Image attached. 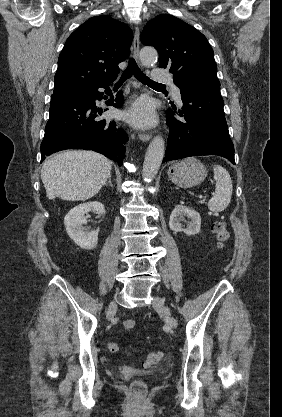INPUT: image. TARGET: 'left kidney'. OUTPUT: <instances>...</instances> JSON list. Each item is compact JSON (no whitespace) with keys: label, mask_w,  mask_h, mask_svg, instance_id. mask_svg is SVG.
<instances>
[{"label":"left kidney","mask_w":282,"mask_h":417,"mask_svg":"<svg viewBox=\"0 0 282 417\" xmlns=\"http://www.w3.org/2000/svg\"><path fill=\"white\" fill-rule=\"evenodd\" d=\"M180 217H188V219H191L190 225L187 229H182ZM169 227L171 231H174V233L183 231L185 235H197L201 227V217L197 211L190 209V206H185V204H176L175 209H173L170 215Z\"/></svg>","instance_id":"1"}]
</instances>
